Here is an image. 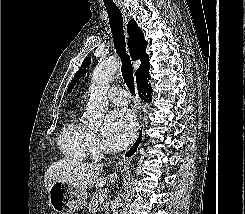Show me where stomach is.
Segmentation results:
<instances>
[{
    "label": "stomach",
    "instance_id": "1",
    "mask_svg": "<svg viewBox=\"0 0 245 214\" xmlns=\"http://www.w3.org/2000/svg\"><path fill=\"white\" fill-rule=\"evenodd\" d=\"M48 192L51 207L61 214H70L87 204L86 189L55 181Z\"/></svg>",
    "mask_w": 245,
    "mask_h": 214
}]
</instances>
